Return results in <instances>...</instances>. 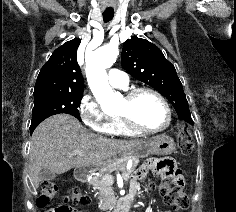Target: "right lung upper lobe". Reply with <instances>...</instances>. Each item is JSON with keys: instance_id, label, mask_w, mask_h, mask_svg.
I'll return each mask as SVG.
<instances>
[{"instance_id": "cb5924a9", "label": "right lung upper lobe", "mask_w": 236, "mask_h": 212, "mask_svg": "<svg viewBox=\"0 0 236 212\" xmlns=\"http://www.w3.org/2000/svg\"><path fill=\"white\" fill-rule=\"evenodd\" d=\"M81 40L65 42L51 55L37 77L34 96L46 93L83 92L84 79L77 63V49Z\"/></svg>"}]
</instances>
